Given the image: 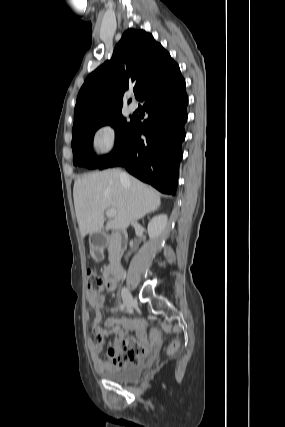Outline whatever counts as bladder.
<instances>
[{"label": "bladder", "mask_w": 285, "mask_h": 427, "mask_svg": "<svg viewBox=\"0 0 285 427\" xmlns=\"http://www.w3.org/2000/svg\"><path fill=\"white\" fill-rule=\"evenodd\" d=\"M142 371L143 365L135 362L104 371L103 376L110 381L126 383L140 378Z\"/></svg>", "instance_id": "obj_1"}]
</instances>
